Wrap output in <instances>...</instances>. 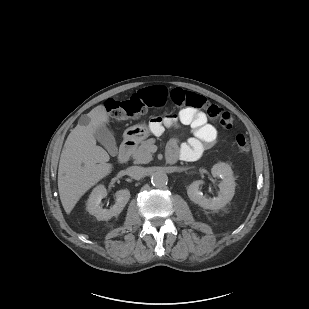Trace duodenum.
I'll list each match as a JSON object with an SVG mask.
<instances>
[{
	"label": "duodenum",
	"instance_id": "obj_1",
	"mask_svg": "<svg viewBox=\"0 0 309 309\" xmlns=\"http://www.w3.org/2000/svg\"><path fill=\"white\" fill-rule=\"evenodd\" d=\"M136 146V141L133 138H129L127 140H125L120 149H119V153H118V161L121 163L126 162L130 155L132 154L134 148Z\"/></svg>",
	"mask_w": 309,
	"mask_h": 309
}]
</instances>
